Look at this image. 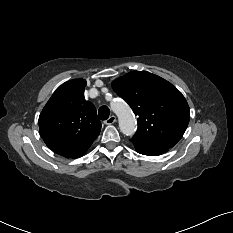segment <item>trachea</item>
<instances>
[{
	"label": "trachea",
	"mask_w": 233,
	"mask_h": 233,
	"mask_svg": "<svg viewBox=\"0 0 233 233\" xmlns=\"http://www.w3.org/2000/svg\"><path fill=\"white\" fill-rule=\"evenodd\" d=\"M110 115V109L107 106H101L98 111V116L101 120H107Z\"/></svg>",
	"instance_id": "3493384b"
}]
</instances>
